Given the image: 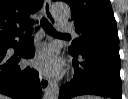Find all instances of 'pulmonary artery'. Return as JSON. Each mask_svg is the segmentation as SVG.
<instances>
[{
	"instance_id": "1",
	"label": "pulmonary artery",
	"mask_w": 128,
	"mask_h": 99,
	"mask_svg": "<svg viewBox=\"0 0 128 99\" xmlns=\"http://www.w3.org/2000/svg\"><path fill=\"white\" fill-rule=\"evenodd\" d=\"M57 28L58 30L63 31V32H72V33L75 32L73 29V26L68 22H58Z\"/></svg>"
}]
</instances>
